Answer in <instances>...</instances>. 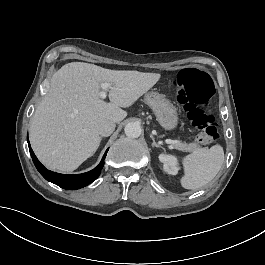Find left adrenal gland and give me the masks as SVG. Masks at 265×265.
<instances>
[{"instance_id": "a2214340", "label": "left adrenal gland", "mask_w": 265, "mask_h": 265, "mask_svg": "<svg viewBox=\"0 0 265 265\" xmlns=\"http://www.w3.org/2000/svg\"><path fill=\"white\" fill-rule=\"evenodd\" d=\"M150 137H151V139H152V141H153V143H152V146H153V147H160V148L164 149L161 145H159V144H157V143L155 142V139H154L153 135H150Z\"/></svg>"}]
</instances>
